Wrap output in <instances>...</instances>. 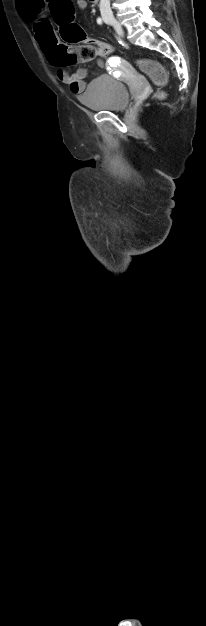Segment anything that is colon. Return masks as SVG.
Wrapping results in <instances>:
<instances>
[{
	"instance_id": "obj_1",
	"label": "colon",
	"mask_w": 206,
	"mask_h": 626,
	"mask_svg": "<svg viewBox=\"0 0 206 626\" xmlns=\"http://www.w3.org/2000/svg\"><path fill=\"white\" fill-rule=\"evenodd\" d=\"M52 8L56 24L60 27V35L64 44L57 48L56 63L66 66L77 62H89L98 55H105L113 51L109 45L87 39L83 29L74 22V8L71 0H47ZM33 14L32 16H34ZM48 29V25H43ZM140 67L157 85L166 82V74L161 65L153 61H141ZM157 93V98H162Z\"/></svg>"
}]
</instances>
